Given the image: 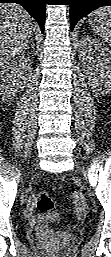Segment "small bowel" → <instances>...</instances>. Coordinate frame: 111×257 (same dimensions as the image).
<instances>
[{"instance_id": "small-bowel-1", "label": "small bowel", "mask_w": 111, "mask_h": 257, "mask_svg": "<svg viewBox=\"0 0 111 257\" xmlns=\"http://www.w3.org/2000/svg\"><path fill=\"white\" fill-rule=\"evenodd\" d=\"M27 211H28V214L30 216V218L32 220H34V215H33V211H34V203L33 202H30L28 207H27Z\"/></svg>"}]
</instances>
